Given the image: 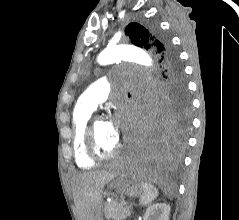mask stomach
<instances>
[{
    "label": "stomach",
    "mask_w": 239,
    "mask_h": 220,
    "mask_svg": "<svg viewBox=\"0 0 239 220\" xmlns=\"http://www.w3.org/2000/svg\"><path fill=\"white\" fill-rule=\"evenodd\" d=\"M122 183H111L110 186L114 192H124L128 196H140L142 188L139 183H134V178H122Z\"/></svg>",
    "instance_id": "1"
}]
</instances>
